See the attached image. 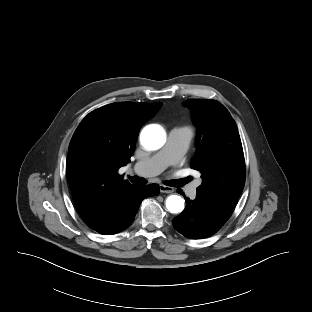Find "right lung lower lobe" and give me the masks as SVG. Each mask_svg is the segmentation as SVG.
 I'll return each instance as SVG.
<instances>
[{"label": "right lung lower lobe", "mask_w": 312, "mask_h": 312, "mask_svg": "<svg viewBox=\"0 0 312 312\" xmlns=\"http://www.w3.org/2000/svg\"><path fill=\"white\" fill-rule=\"evenodd\" d=\"M159 185H132L122 196L115 208L101 220L90 227L103 235H112L123 231L135 219L143 199L159 194Z\"/></svg>", "instance_id": "1"}]
</instances>
